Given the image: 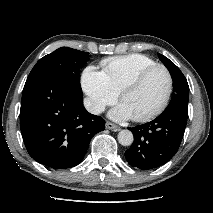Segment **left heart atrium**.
<instances>
[{
    "mask_svg": "<svg viewBox=\"0 0 213 213\" xmlns=\"http://www.w3.org/2000/svg\"><path fill=\"white\" fill-rule=\"evenodd\" d=\"M110 118L122 121L132 118L130 112L127 110V108L121 103L118 106H116L113 110L109 113Z\"/></svg>",
    "mask_w": 213,
    "mask_h": 213,
    "instance_id": "obj_1",
    "label": "left heart atrium"
}]
</instances>
